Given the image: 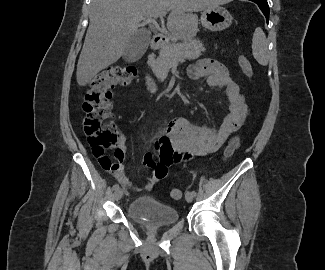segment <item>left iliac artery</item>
<instances>
[{
	"label": "left iliac artery",
	"instance_id": "obj_1",
	"mask_svg": "<svg viewBox=\"0 0 325 270\" xmlns=\"http://www.w3.org/2000/svg\"><path fill=\"white\" fill-rule=\"evenodd\" d=\"M191 193L193 196H196V191L193 190V191H191Z\"/></svg>",
	"mask_w": 325,
	"mask_h": 270
}]
</instances>
